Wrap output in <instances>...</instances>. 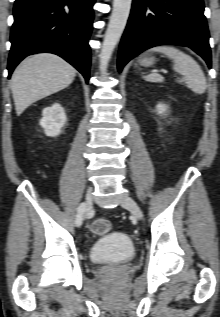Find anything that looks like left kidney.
<instances>
[{
    "instance_id": "obj_1",
    "label": "left kidney",
    "mask_w": 220,
    "mask_h": 317,
    "mask_svg": "<svg viewBox=\"0 0 220 317\" xmlns=\"http://www.w3.org/2000/svg\"><path fill=\"white\" fill-rule=\"evenodd\" d=\"M166 109H167V106L165 104L159 103L157 105V113L160 115L164 114Z\"/></svg>"
}]
</instances>
